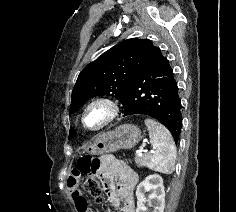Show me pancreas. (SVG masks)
Segmentation results:
<instances>
[{"label":"pancreas","mask_w":236,"mask_h":212,"mask_svg":"<svg viewBox=\"0 0 236 212\" xmlns=\"http://www.w3.org/2000/svg\"><path fill=\"white\" fill-rule=\"evenodd\" d=\"M149 159H150L149 154H145L143 156L136 155L135 163L138 165V167H143L148 164Z\"/></svg>","instance_id":"cf45deb5"}]
</instances>
